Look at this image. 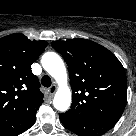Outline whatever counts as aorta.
Returning a JSON list of instances; mask_svg holds the SVG:
<instances>
[{
    "mask_svg": "<svg viewBox=\"0 0 136 136\" xmlns=\"http://www.w3.org/2000/svg\"><path fill=\"white\" fill-rule=\"evenodd\" d=\"M41 64L59 85L53 100L55 109L67 111L71 105V90L67 86V72L63 60L58 54L47 52L42 56Z\"/></svg>",
    "mask_w": 136,
    "mask_h": 136,
    "instance_id": "obj_1",
    "label": "aorta"
}]
</instances>
